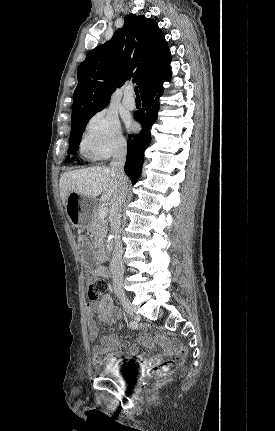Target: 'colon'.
Here are the masks:
<instances>
[{"label": "colon", "mask_w": 275, "mask_h": 431, "mask_svg": "<svg viewBox=\"0 0 275 431\" xmlns=\"http://www.w3.org/2000/svg\"><path fill=\"white\" fill-rule=\"evenodd\" d=\"M86 285L88 298L92 301L97 300L103 294L106 287L103 279L94 273H90L86 276ZM166 367L167 363L156 366L152 368L151 374L154 376L162 375L163 373L167 372Z\"/></svg>", "instance_id": "obj_1"}]
</instances>
